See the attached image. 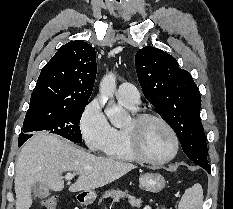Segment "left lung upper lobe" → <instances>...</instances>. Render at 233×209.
<instances>
[{
  "label": "left lung upper lobe",
  "mask_w": 233,
  "mask_h": 209,
  "mask_svg": "<svg viewBox=\"0 0 233 209\" xmlns=\"http://www.w3.org/2000/svg\"><path fill=\"white\" fill-rule=\"evenodd\" d=\"M135 65L145 97L175 131L184 153L197 165L208 164L201 97L191 74L173 56L152 46L138 50Z\"/></svg>",
  "instance_id": "left-lung-upper-lobe-1"
}]
</instances>
